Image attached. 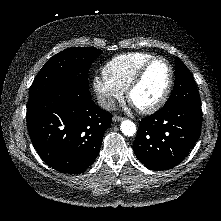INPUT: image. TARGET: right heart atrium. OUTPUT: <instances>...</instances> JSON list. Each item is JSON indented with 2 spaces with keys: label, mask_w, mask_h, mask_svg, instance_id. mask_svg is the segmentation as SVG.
Instances as JSON below:
<instances>
[{
  "label": "right heart atrium",
  "mask_w": 221,
  "mask_h": 221,
  "mask_svg": "<svg viewBox=\"0 0 221 221\" xmlns=\"http://www.w3.org/2000/svg\"><path fill=\"white\" fill-rule=\"evenodd\" d=\"M92 85L99 104L106 110L111 109L115 101L123 96V90L114 85L104 75L95 76Z\"/></svg>",
  "instance_id": "1"
}]
</instances>
